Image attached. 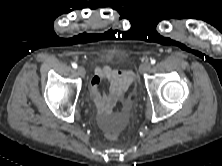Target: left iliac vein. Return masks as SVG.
Returning <instances> with one entry per match:
<instances>
[{"instance_id":"left-iliac-vein-1","label":"left iliac vein","mask_w":222,"mask_h":166,"mask_svg":"<svg viewBox=\"0 0 222 166\" xmlns=\"http://www.w3.org/2000/svg\"><path fill=\"white\" fill-rule=\"evenodd\" d=\"M151 69V64L149 62H144L140 65V72L141 73H146L150 71Z\"/></svg>"}]
</instances>
